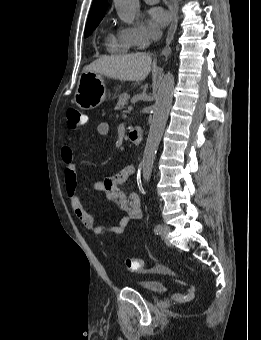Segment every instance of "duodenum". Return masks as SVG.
I'll use <instances>...</instances> for the list:
<instances>
[{
    "instance_id": "obj_1",
    "label": "duodenum",
    "mask_w": 261,
    "mask_h": 340,
    "mask_svg": "<svg viewBox=\"0 0 261 340\" xmlns=\"http://www.w3.org/2000/svg\"><path fill=\"white\" fill-rule=\"evenodd\" d=\"M128 136H129L130 141L133 144L139 145L141 143V140H142V129L140 127L132 128L129 131Z\"/></svg>"
}]
</instances>
